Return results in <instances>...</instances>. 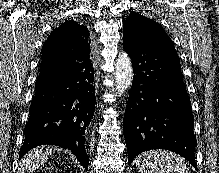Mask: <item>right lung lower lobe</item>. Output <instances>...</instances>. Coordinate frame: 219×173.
Returning <instances> with one entry per match:
<instances>
[{
    "instance_id": "right-lung-lower-lobe-1",
    "label": "right lung lower lobe",
    "mask_w": 219,
    "mask_h": 173,
    "mask_svg": "<svg viewBox=\"0 0 219 173\" xmlns=\"http://www.w3.org/2000/svg\"><path fill=\"white\" fill-rule=\"evenodd\" d=\"M93 82L94 69L84 55H72L64 64L41 61L19 158L38 145H56L71 150L87 171L86 133L95 110Z\"/></svg>"
}]
</instances>
